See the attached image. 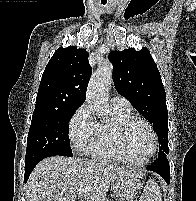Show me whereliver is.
<instances>
[{"instance_id":"liver-1","label":"liver","mask_w":196,"mask_h":201,"mask_svg":"<svg viewBox=\"0 0 196 201\" xmlns=\"http://www.w3.org/2000/svg\"><path fill=\"white\" fill-rule=\"evenodd\" d=\"M127 176L140 178L141 174L106 161L52 156L31 172L26 201H105L110 185Z\"/></svg>"}]
</instances>
